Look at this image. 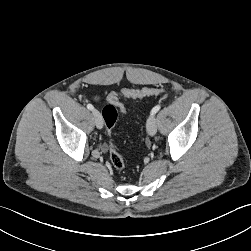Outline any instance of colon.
Instances as JSON below:
<instances>
[{"mask_svg": "<svg viewBox=\"0 0 251 251\" xmlns=\"http://www.w3.org/2000/svg\"><path fill=\"white\" fill-rule=\"evenodd\" d=\"M163 91L162 88H143V89H123L120 92H113L108 96V103L102 109V115L108 131L111 132L118 118V111L125 110L120 97L130 99H143L149 96L158 95ZM110 161L114 168L121 170L125 167V160L121 153L115 148L112 142L109 144Z\"/></svg>", "mask_w": 251, "mask_h": 251, "instance_id": "5ec220e1", "label": "colon"}]
</instances>
